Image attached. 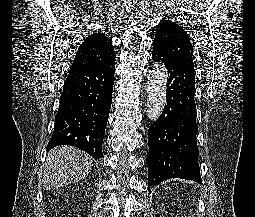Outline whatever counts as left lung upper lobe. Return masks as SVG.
Listing matches in <instances>:
<instances>
[{
    "label": "left lung upper lobe",
    "mask_w": 255,
    "mask_h": 217,
    "mask_svg": "<svg viewBox=\"0 0 255 217\" xmlns=\"http://www.w3.org/2000/svg\"><path fill=\"white\" fill-rule=\"evenodd\" d=\"M153 48L158 49L177 63L194 70L193 47L187 31L170 20H162L156 29Z\"/></svg>",
    "instance_id": "5c2ea615"
}]
</instances>
